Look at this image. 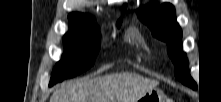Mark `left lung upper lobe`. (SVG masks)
Listing matches in <instances>:
<instances>
[{
  "label": "left lung upper lobe",
  "instance_id": "left-lung-upper-lobe-1",
  "mask_svg": "<svg viewBox=\"0 0 221 102\" xmlns=\"http://www.w3.org/2000/svg\"><path fill=\"white\" fill-rule=\"evenodd\" d=\"M138 16L152 31L153 36L165 41L168 54L175 64V76L184 85L197 89V84L189 74L185 53L182 51V32L176 22L175 9L170 3L141 7Z\"/></svg>",
  "mask_w": 221,
  "mask_h": 102
}]
</instances>
